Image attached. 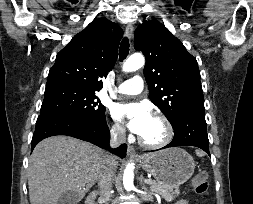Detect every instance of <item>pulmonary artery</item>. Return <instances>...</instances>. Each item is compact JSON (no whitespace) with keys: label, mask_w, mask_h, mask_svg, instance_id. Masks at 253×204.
Returning <instances> with one entry per match:
<instances>
[{"label":"pulmonary artery","mask_w":253,"mask_h":204,"mask_svg":"<svg viewBox=\"0 0 253 204\" xmlns=\"http://www.w3.org/2000/svg\"><path fill=\"white\" fill-rule=\"evenodd\" d=\"M144 87V80L141 76L136 75L123 83L116 89V93L123 95H137L141 93Z\"/></svg>","instance_id":"pulmonary-artery-1"}]
</instances>
